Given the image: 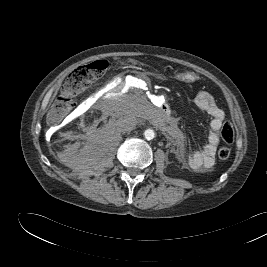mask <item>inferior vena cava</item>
I'll use <instances>...</instances> for the list:
<instances>
[{
	"label": "inferior vena cava",
	"mask_w": 267,
	"mask_h": 267,
	"mask_svg": "<svg viewBox=\"0 0 267 267\" xmlns=\"http://www.w3.org/2000/svg\"><path fill=\"white\" fill-rule=\"evenodd\" d=\"M137 120L132 116L120 117L116 121V126L120 131L127 132L135 129Z\"/></svg>",
	"instance_id": "inferior-vena-cava-1"
}]
</instances>
